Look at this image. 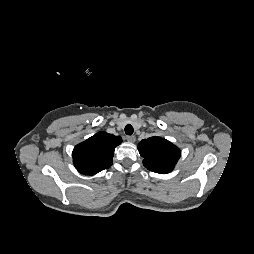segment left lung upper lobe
<instances>
[{
	"mask_svg": "<svg viewBox=\"0 0 254 254\" xmlns=\"http://www.w3.org/2000/svg\"><path fill=\"white\" fill-rule=\"evenodd\" d=\"M144 166L153 172L166 174L173 170L181 152L178 147L157 136L142 140L138 144Z\"/></svg>",
	"mask_w": 254,
	"mask_h": 254,
	"instance_id": "left-lung-upper-lobe-1",
	"label": "left lung upper lobe"
}]
</instances>
